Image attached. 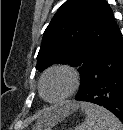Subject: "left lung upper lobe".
I'll return each mask as SVG.
<instances>
[{"instance_id":"left-lung-upper-lobe-1","label":"left lung upper lobe","mask_w":123,"mask_h":130,"mask_svg":"<svg viewBox=\"0 0 123 130\" xmlns=\"http://www.w3.org/2000/svg\"><path fill=\"white\" fill-rule=\"evenodd\" d=\"M119 33L107 1L67 0L44 32L36 68L43 71L55 63L78 67L80 92L94 61Z\"/></svg>"}]
</instances>
